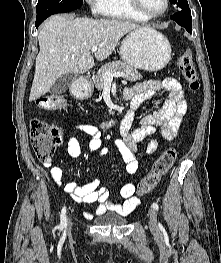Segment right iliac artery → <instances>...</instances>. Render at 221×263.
I'll use <instances>...</instances> for the list:
<instances>
[{"instance_id": "obj_1", "label": "right iliac artery", "mask_w": 221, "mask_h": 263, "mask_svg": "<svg viewBox=\"0 0 221 263\" xmlns=\"http://www.w3.org/2000/svg\"><path fill=\"white\" fill-rule=\"evenodd\" d=\"M61 222L59 225V229H63L66 227L67 225V219H66V207H63L62 211H61Z\"/></svg>"}]
</instances>
